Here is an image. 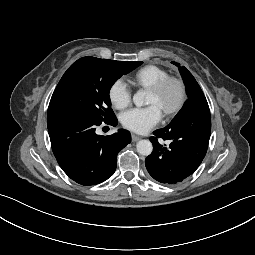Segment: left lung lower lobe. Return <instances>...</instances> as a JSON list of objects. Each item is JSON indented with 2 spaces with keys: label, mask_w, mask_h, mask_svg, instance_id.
<instances>
[{
  "label": "left lung lower lobe",
  "mask_w": 255,
  "mask_h": 255,
  "mask_svg": "<svg viewBox=\"0 0 255 255\" xmlns=\"http://www.w3.org/2000/svg\"><path fill=\"white\" fill-rule=\"evenodd\" d=\"M211 133L210 110L205 96L188 100L174 119L150 138L153 151L146 158L149 174L163 184H176L195 172L207 152ZM169 140L164 146L158 139Z\"/></svg>",
  "instance_id": "0a47b994"
}]
</instances>
